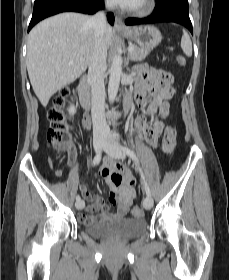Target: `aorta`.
Instances as JSON below:
<instances>
[{
	"mask_svg": "<svg viewBox=\"0 0 229 280\" xmlns=\"http://www.w3.org/2000/svg\"><path fill=\"white\" fill-rule=\"evenodd\" d=\"M108 97L110 103H113L119 89L120 79L122 75V57L116 54L113 58L112 65L109 69Z\"/></svg>",
	"mask_w": 229,
	"mask_h": 280,
	"instance_id": "obj_1",
	"label": "aorta"
}]
</instances>
